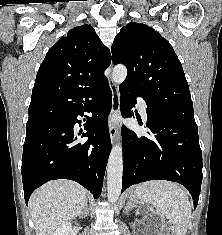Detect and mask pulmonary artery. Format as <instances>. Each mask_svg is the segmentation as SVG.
Here are the masks:
<instances>
[{
    "label": "pulmonary artery",
    "instance_id": "obj_1",
    "mask_svg": "<svg viewBox=\"0 0 222 235\" xmlns=\"http://www.w3.org/2000/svg\"><path fill=\"white\" fill-rule=\"evenodd\" d=\"M138 104H139V108L140 111L142 113V116L144 118H147V113H146V102L144 101V99L138 97Z\"/></svg>",
    "mask_w": 222,
    "mask_h": 235
}]
</instances>
